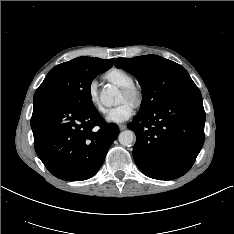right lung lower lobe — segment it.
<instances>
[{
  "mask_svg": "<svg viewBox=\"0 0 234 234\" xmlns=\"http://www.w3.org/2000/svg\"><path fill=\"white\" fill-rule=\"evenodd\" d=\"M31 128L35 151L56 177L81 181L94 176L119 134L94 106L80 108L64 100L34 101Z\"/></svg>",
  "mask_w": 234,
  "mask_h": 234,
  "instance_id": "1",
  "label": "right lung lower lobe"
}]
</instances>
